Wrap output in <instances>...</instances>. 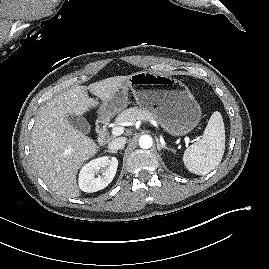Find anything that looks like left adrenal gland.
Listing matches in <instances>:
<instances>
[{"instance_id": "obj_1", "label": "left adrenal gland", "mask_w": 269, "mask_h": 269, "mask_svg": "<svg viewBox=\"0 0 269 269\" xmlns=\"http://www.w3.org/2000/svg\"><path fill=\"white\" fill-rule=\"evenodd\" d=\"M156 141H157V148H158L159 151H161L162 149H166L168 151H173L171 148L160 144V142H159V140L157 138H156Z\"/></svg>"}]
</instances>
